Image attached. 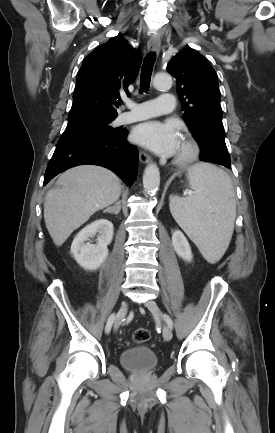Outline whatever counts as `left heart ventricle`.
Returning a JSON list of instances; mask_svg holds the SVG:
<instances>
[{
  "instance_id": "1",
  "label": "left heart ventricle",
  "mask_w": 275,
  "mask_h": 433,
  "mask_svg": "<svg viewBox=\"0 0 275 433\" xmlns=\"http://www.w3.org/2000/svg\"><path fill=\"white\" fill-rule=\"evenodd\" d=\"M184 148V144L183 141L181 140L177 149V154L180 153Z\"/></svg>"
}]
</instances>
